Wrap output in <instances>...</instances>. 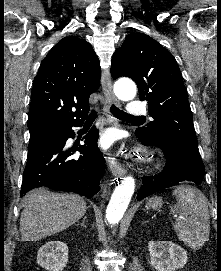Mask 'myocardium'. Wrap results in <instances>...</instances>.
Segmentation results:
<instances>
[{"mask_svg":"<svg viewBox=\"0 0 221 271\" xmlns=\"http://www.w3.org/2000/svg\"><path fill=\"white\" fill-rule=\"evenodd\" d=\"M143 150H144V153L145 154H147L146 152L148 151V150H146L148 147L146 146V145H143L142 147H141ZM157 164L155 163V162H148L147 163V166L148 167H155ZM137 170L140 168L141 170L144 168L142 165L139 167L138 165L135 167Z\"/></svg>","mask_w":221,"mask_h":271,"instance_id":"myocardium-1","label":"myocardium"}]
</instances>
